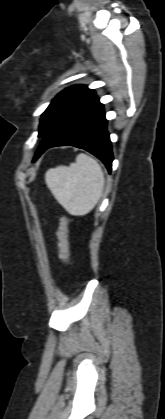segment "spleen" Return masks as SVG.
<instances>
[{"label":"spleen","instance_id":"spleen-1","mask_svg":"<svg viewBox=\"0 0 165 419\" xmlns=\"http://www.w3.org/2000/svg\"><path fill=\"white\" fill-rule=\"evenodd\" d=\"M45 182L68 213L82 216L88 214L100 200L105 178L98 162L81 153L70 166L49 169Z\"/></svg>","mask_w":165,"mask_h":419}]
</instances>
